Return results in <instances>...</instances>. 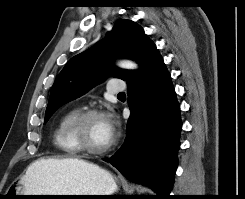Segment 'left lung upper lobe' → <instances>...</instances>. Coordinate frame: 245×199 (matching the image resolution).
<instances>
[{
	"mask_svg": "<svg viewBox=\"0 0 245 199\" xmlns=\"http://www.w3.org/2000/svg\"><path fill=\"white\" fill-rule=\"evenodd\" d=\"M155 51L156 46L139 25L129 20H118L104 40L67 62L52 87L44 123L58 108L80 97L108 75L126 82L139 76ZM121 57L136 60L142 70H120L113 67L111 60Z\"/></svg>",
	"mask_w": 245,
	"mask_h": 199,
	"instance_id": "obj_1",
	"label": "left lung upper lobe"
}]
</instances>
